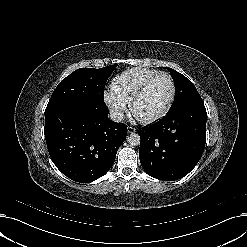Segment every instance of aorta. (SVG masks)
I'll return each mask as SVG.
<instances>
[{"label":"aorta","instance_id":"1","mask_svg":"<svg viewBox=\"0 0 247 247\" xmlns=\"http://www.w3.org/2000/svg\"><path fill=\"white\" fill-rule=\"evenodd\" d=\"M140 136L137 133H131L127 136V142L131 146H138L140 144Z\"/></svg>","mask_w":247,"mask_h":247}]
</instances>
